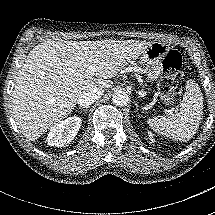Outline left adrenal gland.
<instances>
[{
  "instance_id": "1",
  "label": "left adrenal gland",
  "mask_w": 215,
  "mask_h": 215,
  "mask_svg": "<svg viewBox=\"0 0 215 215\" xmlns=\"http://www.w3.org/2000/svg\"><path fill=\"white\" fill-rule=\"evenodd\" d=\"M135 106H136V109H137V111H138V110H139L138 102L135 103Z\"/></svg>"
}]
</instances>
